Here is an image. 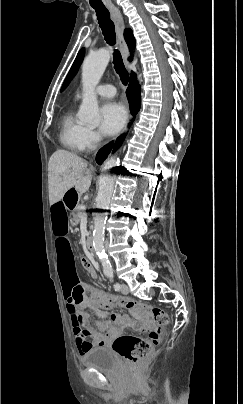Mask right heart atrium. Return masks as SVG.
<instances>
[{
  "label": "right heart atrium",
  "mask_w": 243,
  "mask_h": 404,
  "mask_svg": "<svg viewBox=\"0 0 243 404\" xmlns=\"http://www.w3.org/2000/svg\"><path fill=\"white\" fill-rule=\"evenodd\" d=\"M102 138L98 132L91 128H85L82 137L83 151L96 150L101 146Z\"/></svg>",
  "instance_id": "right-heart-atrium-1"
}]
</instances>
